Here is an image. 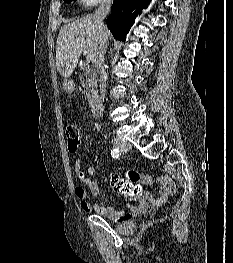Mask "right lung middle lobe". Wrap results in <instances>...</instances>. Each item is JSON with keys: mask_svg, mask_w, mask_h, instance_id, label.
Listing matches in <instances>:
<instances>
[{"mask_svg": "<svg viewBox=\"0 0 233 263\" xmlns=\"http://www.w3.org/2000/svg\"><path fill=\"white\" fill-rule=\"evenodd\" d=\"M66 3H70L72 0H64ZM76 1V0H73Z\"/></svg>", "mask_w": 233, "mask_h": 263, "instance_id": "dd1d6c3e", "label": "right lung middle lobe"}]
</instances>
